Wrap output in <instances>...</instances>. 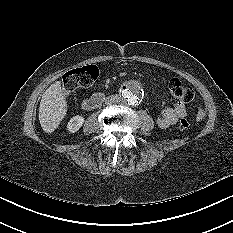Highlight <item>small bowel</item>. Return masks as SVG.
Listing matches in <instances>:
<instances>
[{
    "mask_svg": "<svg viewBox=\"0 0 233 233\" xmlns=\"http://www.w3.org/2000/svg\"><path fill=\"white\" fill-rule=\"evenodd\" d=\"M187 109L182 101L174 106L165 107L156 117V124L162 129L175 125L180 119L186 117Z\"/></svg>",
    "mask_w": 233,
    "mask_h": 233,
    "instance_id": "1",
    "label": "small bowel"
}]
</instances>
